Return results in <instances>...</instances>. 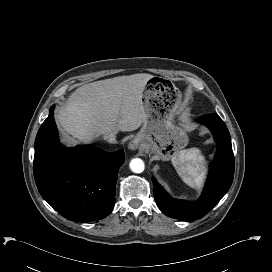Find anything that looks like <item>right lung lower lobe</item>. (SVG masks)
Listing matches in <instances>:
<instances>
[{
    "label": "right lung lower lobe",
    "mask_w": 272,
    "mask_h": 272,
    "mask_svg": "<svg viewBox=\"0 0 272 272\" xmlns=\"http://www.w3.org/2000/svg\"><path fill=\"white\" fill-rule=\"evenodd\" d=\"M53 108L35 140L34 178L42 197L63 217L90 222L108 216L115 204L124 151L91 145L67 148L57 137Z\"/></svg>",
    "instance_id": "right-lung-lower-lobe-1"
}]
</instances>
